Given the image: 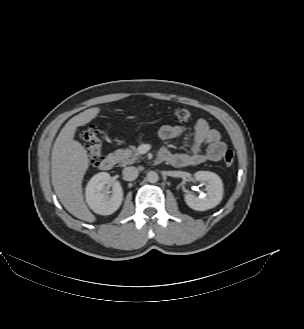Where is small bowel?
<instances>
[{
    "instance_id": "small-bowel-1",
    "label": "small bowel",
    "mask_w": 304,
    "mask_h": 329,
    "mask_svg": "<svg viewBox=\"0 0 304 329\" xmlns=\"http://www.w3.org/2000/svg\"><path fill=\"white\" fill-rule=\"evenodd\" d=\"M186 127L182 125H164L159 129L162 140H171L182 136ZM205 146V149H203ZM226 150V144L221 140L220 133L211 128L205 119H198L193 128V137L188 152H172L163 148L162 159L175 167L195 166L204 162L221 160Z\"/></svg>"
}]
</instances>
